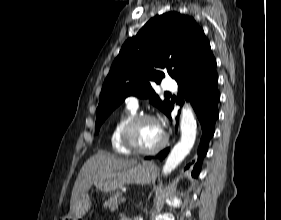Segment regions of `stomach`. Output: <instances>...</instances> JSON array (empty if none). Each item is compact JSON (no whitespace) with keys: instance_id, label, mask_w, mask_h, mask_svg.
<instances>
[{"instance_id":"0dacf381","label":"stomach","mask_w":281,"mask_h":220,"mask_svg":"<svg viewBox=\"0 0 281 220\" xmlns=\"http://www.w3.org/2000/svg\"><path fill=\"white\" fill-rule=\"evenodd\" d=\"M156 174V168L151 163H138L129 168L108 172L101 175L94 186L105 192H113L126 184H148ZM91 207V198L85 194L70 210L64 220H82Z\"/></svg>"}]
</instances>
